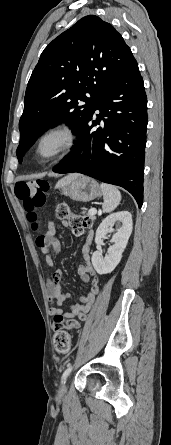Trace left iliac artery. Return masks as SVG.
Returning <instances> with one entry per match:
<instances>
[{
  "label": "left iliac artery",
  "mask_w": 171,
  "mask_h": 445,
  "mask_svg": "<svg viewBox=\"0 0 171 445\" xmlns=\"http://www.w3.org/2000/svg\"><path fill=\"white\" fill-rule=\"evenodd\" d=\"M71 370H72V366L70 365V366L64 371V373H63V375H62V381H63V380L70 374Z\"/></svg>",
  "instance_id": "1"
}]
</instances>
